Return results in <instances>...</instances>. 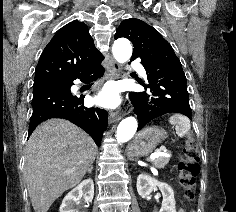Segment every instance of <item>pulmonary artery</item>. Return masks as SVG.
<instances>
[{"mask_svg":"<svg viewBox=\"0 0 236 212\" xmlns=\"http://www.w3.org/2000/svg\"><path fill=\"white\" fill-rule=\"evenodd\" d=\"M134 68H135L142 76H146L145 69H144L139 63L134 64Z\"/></svg>","mask_w":236,"mask_h":212,"instance_id":"pulmonary-artery-1","label":"pulmonary artery"}]
</instances>
